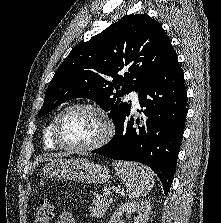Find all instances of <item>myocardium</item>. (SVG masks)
Instances as JSON below:
<instances>
[{
  "instance_id": "obj_1",
  "label": "myocardium",
  "mask_w": 221,
  "mask_h": 223,
  "mask_svg": "<svg viewBox=\"0 0 221 223\" xmlns=\"http://www.w3.org/2000/svg\"><path fill=\"white\" fill-rule=\"evenodd\" d=\"M75 109H85V110H91L95 113H97L104 121L105 124V131L104 133L92 144L86 145V146H74V145H68L65 144L60 136H59V127L60 123L63 119V117L70 111ZM114 134V123L110 115L101 107L90 104V103H76L67 106L64 108L56 117L53 130H52V139L57 144L58 147L61 149L67 150V151H73V152H90L99 149L100 147L107 144Z\"/></svg>"
}]
</instances>
